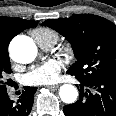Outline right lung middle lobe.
Instances as JSON below:
<instances>
[{
    "mask_svg": "<svg viewBox=\"0 0 116 116\" xmlns=\"http://www.w3.org/2000/svg\"><path fill=\"white\" fill-rule=\"evenodd\" d=\"M11 72L8 53H0V96L7 94L6 85L8 84V81H5V77L6 74H10Z\"/></svg>",
    "mask_w": 116,
    "mask_h": 116,
    "instance_id": "1",
    "label": "right lung middle lobe"
}]
</instances>
